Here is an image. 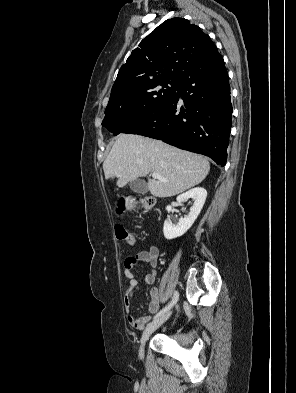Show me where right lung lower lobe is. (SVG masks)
I'll use <instances>...</instances> for the list:
<instances>
[{
  "label": "right lung lower lobe",
  "instance_id": "right-lung-lower-lobe-1",
  "mask_svg": "<svg viewBox=\"0 0 296 393\" xmlns=\"http://www.w3.org/2000/svg\"><path fill=\"white\" fill-rule=\"evenodd\" d=\"M181 97L183 105L178 103ZM228 73L216 46L178 79L170 99L122 133L160 139L224 166L231 131Z\"/></svg>",
  "mask_w": 296,
  "mask_h": 393
}]
</instances>
